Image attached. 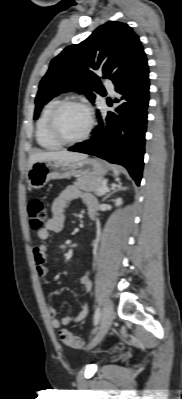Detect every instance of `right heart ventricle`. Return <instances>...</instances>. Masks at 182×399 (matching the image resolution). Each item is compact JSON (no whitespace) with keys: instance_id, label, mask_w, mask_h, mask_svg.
<instances>
[{"instance_id":"right-heart-ventricle-1","label":"right heart ventricle","mask_w":182,"mask_h":399,"mask_svg":"<svg viewBox=\"0 0 182 399\" xmlns=\"http://www.w3.org/2000/svg\"><path fill=\"white\" fill-rule=\"evenodd\" d=\"M59 101L58 98H54L44 106L36 125V141L42 148L47 150H54L61 146L51 136L48 128L49 115Z\"/></svg>"}]
</instances>
